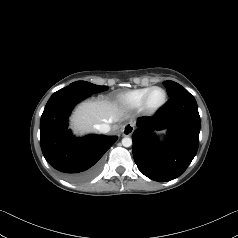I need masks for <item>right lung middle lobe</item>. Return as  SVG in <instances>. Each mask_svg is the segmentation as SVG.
Here are the masks:
<instances>
[{
	"label": "right lung middle lobe",
	"mask_w": 238,
	"mask_h": 238,
	"mask_svg": "<svg viewBox=\"0 0 238 238\" xmlns=\"http://www.w3.org/2000/svg\"><path fill=\"white\" fill-rule=\"evenodd\" d=\"M71 85L79 86L82 90L90 94L102 92L108 89L107 86H99V85H95L86 81H76V82H73Z\"/></svg>",
	"instance_id": "dd1d6c3e"
}]
</instances>
